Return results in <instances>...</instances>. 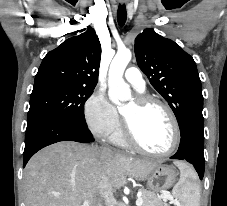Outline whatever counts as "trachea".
<instances>
[{"instance_id":"3493384b","label":"trachea","mask_w":227,"mask_h":206,"mask_svg":"<svg viewBox=\"0 0 227 206\" xmlns=\"http://www.w3.org/2000/svg\"><path fill=\"white\" fill-rule=\"evenodd\" d=\"M127 19V12H126V6L125 4L120 5L118 7V11H117V21L119 26H123L126 22Z\"/></svg>"}]
</instances>
